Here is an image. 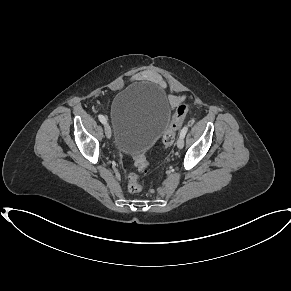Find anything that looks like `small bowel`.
I'll use <instances>...</instances> for the list:
<instances>
[{
    "mask_svg": "<svg viewBox=\"0 0 291 291\" xmlns=\"http://www.w3.org/2000/svg\"><path fill=\"white\" fill-rule=\"evenodd\" d=\"M132 81H148L154 83L160 87H166V82L163 77L153 70H143L135 73L131 77ZM183 101V97L180 95H169V103L172 108H175Z\"/></svg>",
    "mask_w": 291,
    "mask_h": 291,
    "instance_id": "small-bowel-1",
    "label": "small bowel"
}]
</instances>
